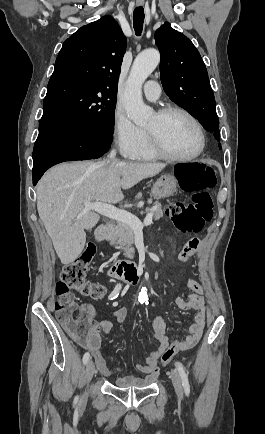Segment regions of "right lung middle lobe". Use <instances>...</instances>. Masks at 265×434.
Here are the masks:
<instances>
[{
    "mask_svg": "<svg viewBox=\"0 0 265 434\" xmlns=\"http://www.w3.org/2000/svg\"><path fill=\"white\" fill-rule=\"evenodd\" d=\"M116 94V86L96 78H51L43 102V115L53 114L76 127L112 135Z\"/></svg>",
    "mask_w": 265,
    "mask_h": 434,
    "instance_id": "obj_1",
    "label": "right lung middle lobe"
}]
</instances>
